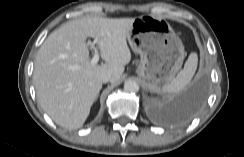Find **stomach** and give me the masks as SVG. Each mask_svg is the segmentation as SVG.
<instances>
[{
    "label": "stomach",
    "mask_w": 244,
    "mask_h": 157,
    "mask_svg": "<svg viewBox=\"0 0 244 157\" xmlns=\"http://www.w3.org/2000/svg\"><path fill=\"white\" fill-rule=\"evenodd\" d=\"M127 39L131 49L140 55L137 74L151 87L159 88L175 78L186 52L165 19L154 15L135 18Z\"/></svg>",
    "instance_id": "1"
}]
</instances>
